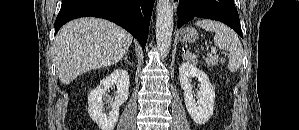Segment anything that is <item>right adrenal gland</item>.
<instances>
[{
  "label": "right adrenal gland",
  "instance_id": "right-adrenal-gland-1",
  "mask_svg": "<svg viewBox=\"0 0 299 130\" xmlns=\"http://www.w3.org/2000/svg\"><path fill=\"white\" fill-rule=\"evenodd\" d=\"M123 60H124L125 62H127L128 64H130V62H129V60H128V57H127V53L124 55ZM121 61H122V60H121Z\"/></svg>",
  "mask_w": 299,
  "mask_h": 130
}]
</instances>
